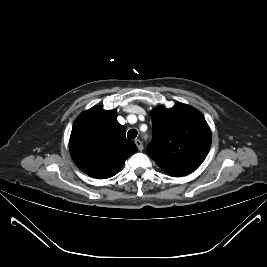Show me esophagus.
<instances>
[{"instance_id": "obj_1", "label": "esophagus", "mask_w": 267, "mask_h": 267, "mask_svg": "<svg viewBox=\"0 0 267 267\" xmlns=\"http://www.w3.org/2000/svg\"><path fill=\"white\" fill-rule=\"evenodd\" d=\"M135 144H136L138 150H140V151L143 150V148H144V147H143V144H142V142H141L139 139H136V140H135Z\"/></svg>"}]
</instances>
